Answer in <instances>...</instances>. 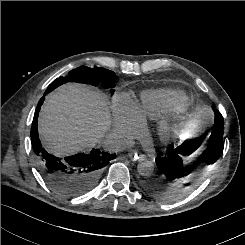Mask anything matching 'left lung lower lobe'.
Here are the masks:
<instances>
[{
	"label": "left lung lower lobe",
	"mask_w": 245,
	"mask_h": 245,
	"mask_svg": "<svg viewBox=\"0 0 245 245\" xmlns=\"http://www.w3.org/2000/svg\"><path fill=\"white\" fill-rule=\"evenodd\" d=\"M215 114L214 127L209 137L207 148L200 155L198 163L201 167L215 163L223 149V116L217 109ZM206 138V133L194 139L185 140L176 145H170L164 155H158L156 164L159 169L160 179L167 181L170 185V192H178L179 189L191 185V169L182 161L183 156L195 151ZM153 184H146V189L153 191Z\"/></svg>",
	"instance_id": "obj_1"
}]
</instances>
